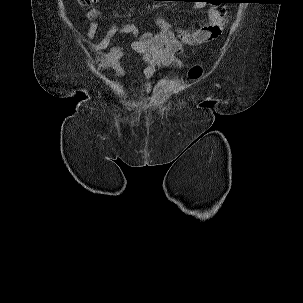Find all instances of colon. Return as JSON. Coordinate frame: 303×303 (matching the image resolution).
I'll list each match as a JSON object with an SVG mask.
<instances>
[{"instance_id":"1","label":"colon","mask_w":303,"mask_h":303,"mask_svg":"<svg viewBox=\"0 0 303 303\" xmlns=\"http://www.w3.org/2000/svg\"><path fill=\"white\" fill-rule=\"evenodd\" d=\"M79 3L83 6H89L92 3H94L95 0H78ZM202 74V69L200 66H194L193 68L190 69L189 71V76L192 79H196L198 77H200Z\"/></svg>"}]
</instances>
